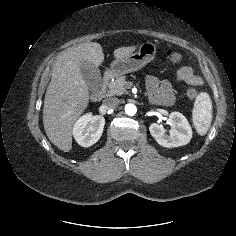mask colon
I'll return each mask as SVG.
<instances>
[{"instance_id": "1", "label": "colon", "mask_w": 236, "mask_h": 236, "mask_svg": "<svg viewBox=\"0 0 236 236\" xmlns=\"http://www.w3.org/2000/svg\"><path fill=\"white\" fill-rule=\"evenodd\" d=\"M166 58L171 64H179L183 61V54L179 50L169 49L166 52ZM186 94L190 99H194L197 96V91L194 88H188Z\"/></svg>"}]
</instances>
